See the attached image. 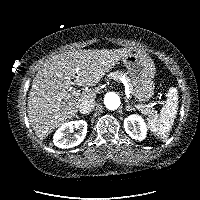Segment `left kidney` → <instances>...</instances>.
<instances>
[{
  "instance_id": "obj_1",
  "label": "left kidney",
  "mask_w": 200,
  "mask_h": 200,
  "mask_svg": "<svg viewBox=\"0 0 200 200\" xmlns=\"http://www.w3.org/2000/svg\"><path fill=\"white\" fill-rule=\"evenodd\" d=\"M125 132L135 140L146 138L147 126L143 118L137 114H132L124 119Z\"/></svg>"
}]
</instances>
